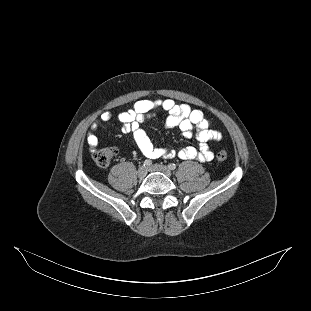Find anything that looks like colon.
Masks as SVG:
<instances>
[{
    "mask_svg": "<svg viewBox=\"0 0 311 311\" xmlns=\"http://www.w3.org/2000/svg\"><path fill=\"white\" fill-rule=\"evenodd\" d=\"M116 153L117 151L113 147H103V148L93 150L92 158L98 166L106 167L114 159ZM216 159L218 161H225L227 159V152L224 150L219 151L216 154Z\"/></svg>",
    "mask_w": 311,
    "mask_h": 311,
    "instance_id": "5ec220e1",
    "label": "colon"
}]
</instances>
